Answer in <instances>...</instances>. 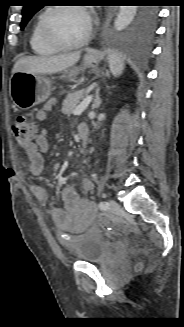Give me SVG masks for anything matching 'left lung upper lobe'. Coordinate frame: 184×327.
<instances>
[{"mask_svg":"<svg viewBox=\"0 0 184 327\" xmlns=\"http://www.w3.org/2000/svg\"><path fill=\"white\" fill-rule=\"evenodd\" d=\"M42 8L41 0H27L23 6V14L21 21V30L24 29L25 25L31 19V17Z\"/></svg>","mask_w":184,"mask_h":327,"instance_id":"obj_1","label":"left lung upper lobe"}]
</instances>
